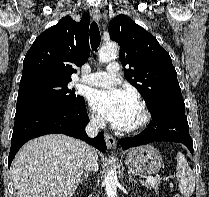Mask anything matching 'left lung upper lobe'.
<instances>
[{
    "label": "left lung upper lobe",
    "mask_w": 209,
    "mask_h": 197,
    "mask_svg": "<svg viewBox=\"0 0 209 197\" xmlns=\"http://www.w3.org/2000/svg\"><path fill=\"white\" fill-rule=\"evenodd\" d=\"M112 40L120 45L125 78L140 92L151 111L160 103L183 101L171 57L156 38L125 15L109 25Z\"/></svg>",
    "instance_id": "left-lung-upper-lobe-1"
}]
</instances>
